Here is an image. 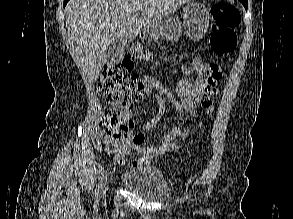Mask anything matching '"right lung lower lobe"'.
<instances>
[{
	"mask_svg": "<svg viewBox=\"0 0 293 219\" xmlns=\"http://www.w3.org/2000/svg\"><path fill=\"white\" fill-rule=\"evenodd\" d=\"M69 0H64V6L66 5V3L68 2Z\"/></svg>",
	"mask_w": 293,
	"mask_h": 219,
	"instance_id": "right-lung-lower-lobe-1",
	"label": "right lung lower lobe"
}]
</instances>
